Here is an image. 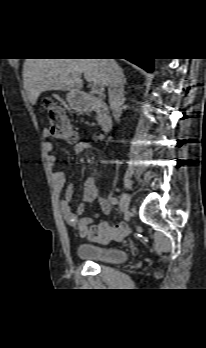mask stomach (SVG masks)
<instances>
[{"label": "stomach", "mask_w": 206, "mask_h": 348, "mask_svg": "<svg viewBox=\"0 0 206 348\" xmlns=\"http://www.w3.org/2000/svg\"><path fill=\"white\" fill-rule=\"evenodd\" d=\"M66 100L69 106L75 111L81 112L86 108V101L84 100L82 94L79 92L67 93Z\"/></svg>", "instance_id": "stomach-1"}]
</instances>
